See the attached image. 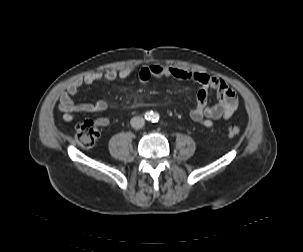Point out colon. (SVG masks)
<instances>
[{
    "label": "colon",
    "instance_id": "obj_1",
    "mask_svg": "<svg viewBox=\"0 0 303 252\" xmlns=\"http://www.w3.org/2000/svg\"><path fill=\"white\" fill-rule=\"evenodd\" d=\"M240 134V128L231 125L226 129L228 138L236 137ZM76 138L78 143L84 148L93 147L99 138V131L94 121L85 120L76 126Z\"/></svg>",
    "mask_w": 303,
    "mask_h": 252
}]
</instances>
